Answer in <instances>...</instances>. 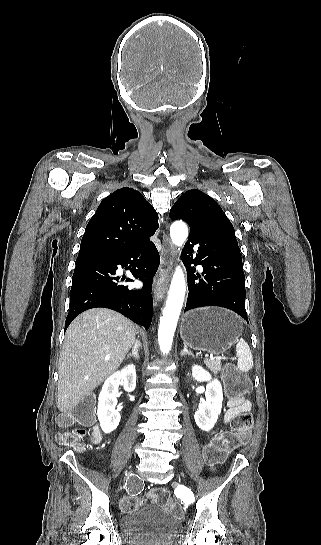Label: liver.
<instances>
[{
  "instance_id": "obj_1",
  "label": "liver",
  "mask_w": 321,
  "mask_h": 545,
  "mask_svg": "<svg viewBox=\"0 0 321 545\" xmlns=\"http://www.w3.org/2000/svg\"><path fill=\"white\" fill-rule=\"evenodd\" d=\"M135 335L133 323L110 309H90L74 319L58 363L56 403L61 413L75 409L120 367Z\"/></svg>"
}]
</instances>
